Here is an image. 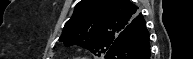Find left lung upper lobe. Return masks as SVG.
Listing matches in <instances>:
<instances>
[{"label":"left lung upper lobe","mask_w":193,"mask_h":59,"mask_svg":"<svg viewBox=\"0 0 193 59\" xmlns=\"http://www.w3.org/2000/svg\"><path fill=\"white\" fill-rule=\"evenodd\" d=\"M141 16L130 0H81L59 40L67 47H85L100 57Z\"/></svg>","instance_id":"1"}]
</instances>
